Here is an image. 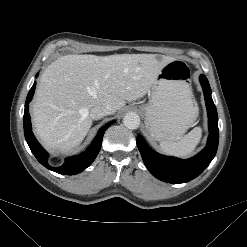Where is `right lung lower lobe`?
Masks as SVG:
<instances>
[{
    "instance_id": "right-lung-lower-lobe-1",
    "label": "right lung lower lobe",
    "mask_w": 247,
    "mask_h": 247,
    "mask_svg": "<svg viewBox=\"0 0 247 247\" xmlns=\"http://www.w3.org/2000/svg\"><path fill=\"white\" fill-rule=\"evenodd\" d=\"M35 86H36V82L34 83V85L32 86V88L30 89L27 95L24 117H23V125L25 129L24 130L25 139L32 153L43 166H45L47 169H50L56 173L63 174V175H75V174L82 172L84 169L90 166V164L95 160L101 148V143H102L104 132L115 121H111L105 124L98 131L92 144L87 148L86 151L82 152L79 155L66 159L65 163L60 167H51L47 162V159H48L47 152L37 142L31 130L32 127H31L30 115L28 114V109H29V102L32 99L34 91H35Z\"/></svg>"
}]
</instances>
